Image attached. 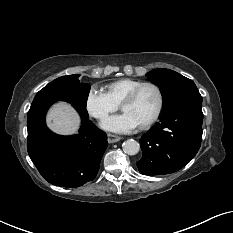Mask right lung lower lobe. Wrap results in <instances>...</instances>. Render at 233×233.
I'll return each instance as SVG.
<instances>
[{"instance_id": "1", "label": "right lung lower lobe", "mask_w": 233, "mask_h": 233, "mask_svg": "<svg viewBox=\"0 0 233 233\" xmlns=\"http://www.w3.org/2000/svg\"><path fill=\"white\" fill-rule=\"evenodd\" d=\"M55 100L31 105L27 115V150L40 174L49 183L62 187H78L92 181L99 170L107 148V135L89 119L85 107L73 104L80 113L79 134L61 136L45 124V114Z\"/></svg>"}]
</instances>
